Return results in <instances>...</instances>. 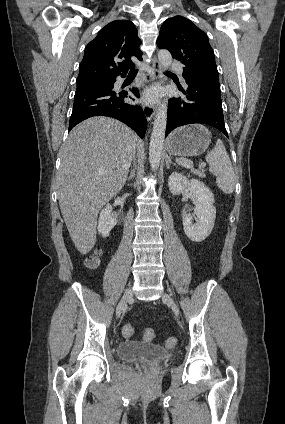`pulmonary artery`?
Returning <instances> with one entry per match:
<instances>
[{
  "label": "pulmonary artery",
  "mask_w": 285,
  "mask_h": 424,
  "mask_svg": "<svg viewBox=\"0 0 285 424\" xmlns=\"http://www.w3.org/2000/svg\"><path fill=\"white\" fill-rule=\"evenodd\" d=\"M170 67H171V69H172L173 71H175V72H177V73H182V71H183L182 66H181L180 64H178V63H172V64L170 65Z\"/></svg>",
  "instance_id": "1"
}]
</instances>
